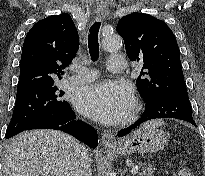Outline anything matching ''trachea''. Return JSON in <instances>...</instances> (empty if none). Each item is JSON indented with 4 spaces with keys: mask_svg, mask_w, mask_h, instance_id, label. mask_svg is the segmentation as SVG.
I'll list each match as a JSON object with an SVG mask.
<instances>
[{
    "mask_svg": "<svg viewBox=\"0 0 205 176\" xmlns=\"http://www.w3.org/2000/svg\"><path fill=\"white\" fill-rule=\"evenodd\" d=\"M100 26V22H95L89 30L88 48L92 61H96L99 58L98 35Z\"/></svg>",
    "mask_w": 205,
    "mask_h": 176,
    "instance_id": "obj_1",
    "label": "trachea"
}]
</instances>
